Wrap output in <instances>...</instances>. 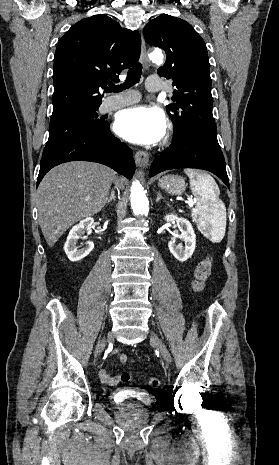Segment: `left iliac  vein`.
<instances>
[{
    "instance_id": "left-iliac-vein-1",
    "label": "left iliac vein",
    "mask_w": 279,
    "mask_h": 465,
    "mask_svg": "<svg viewBox=\"0 0 279 465\" xmlns=\"http://www.w3.org/2000/svg\"><path fill=\"white\" fill-rule=\"evenodd\" d=\"M151 341L152 343L157 347V349L160 351L163 359L170 364L171 363V355L165 346V344L158 338V336L154 333L151 334Z\"/></svg>"
}]
</instances>
